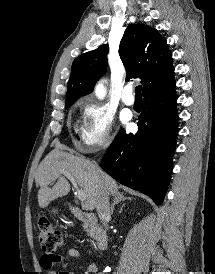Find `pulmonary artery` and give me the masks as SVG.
Wrapping results in <instances>:
<instances>
[{"label": "pulmonary artery", "instance_id": "1", "mask_svg": "<svg viewBox=\"0 0 215 274\" xmlns=\"http://www.w3.org/2000/svg\"><path fill=\"white\" fill-rule=\"evenodd\" d=\"M132 91H133L132 86L127 85L124 87L121 94V99L123 103L128 106H132L135 103V98L132 94Z\"/></svg>", "mask_w": 215, "mask_h": 274}]
</instances>
